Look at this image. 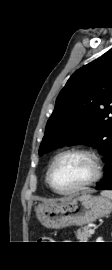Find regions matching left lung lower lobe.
Instances as JSON below:
<instances>
[{
	"mask_svg": "<svg viewBox=\"0 0 112 270\" xmlns=\"http://www.w3.org/2000/svg\"><path fill=\"white\" fill-rule=\"evenodd\" d=\"M105 163L104 177L96 184V188L112 190V154Z\"/></svg>",
	"mask_w": 112,
	"mask_h": 270,
	"instance_id": "1",
	"label": "left lung lower lobe"
}]
</instances>
